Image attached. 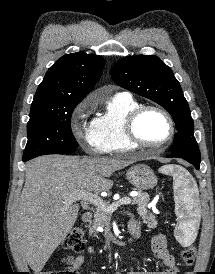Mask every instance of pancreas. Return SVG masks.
<instances>
[{
  "mask_svg": "<svg viewBox=\"0 0 215 274\" xmlns=\"http://www.w3.org/2000/svg\"><path fill=\"white\" fill-rule=\"evenodd\" d=\"M150 201V197L148 193L138 191L137 197L134 198L133 204L137 205V211L138 214L144 219L147 220L151 216L149 213L147 207L148 203ZM110 201L105 202V206H109ZM111 215L105 211H103L101 208H96V211L94 213V220L89 222L88 228H89V233L90 235H95L97 232V228L99 226H104L107 221H109Z\"/></svg>",
  "mask_w": 215,
  "mask_h": 274,
  "instance_id": "1",
  "label": "pancreas"
}]
</instances>
